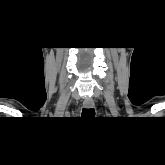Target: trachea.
Wrapping results in <instances>:
<instances>
[{
	"instance_id": "trachea-1",
	"label": "trachea",
	"mask_w": 165,
	"mask_h": 165,
	"mask_svg": "<svg viewBox=\"0 0 165 165\" xmlns=\"http://www.w3.org/2000/svg\"><path fill=\"white\" fill-rule=\"evenodd\" d=\"M82 116L83 117H94L95 116V110L93 108L83 109L82 110Z\"/></svg>"
}]
</instances>
